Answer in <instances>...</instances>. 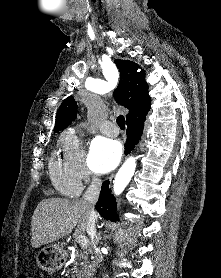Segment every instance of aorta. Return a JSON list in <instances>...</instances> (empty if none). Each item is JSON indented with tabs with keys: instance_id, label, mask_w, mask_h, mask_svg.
<instances>
[{
	"instance_id": "aorta-1",
	"label": "aorta",
	"mask_w": 221,
	"mask_h": 278,
	"mask_svg": "<svg viewBox=\"0 0 221 278\" xmlns=\"http://www.w3.org/2000/svg\"><path fill=\"white\" fill-rule=\"evenodd\" d=\"M136 168V159L130 157L120 168L114 179L113 190L116 195L121 194L130 182Z\"/></svg>"
}]
</instances>
